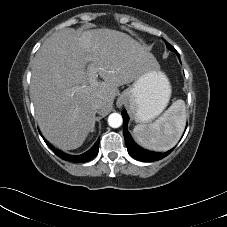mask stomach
Returning <instances> with one entry per match:
<instances>
[{"label":"stomach","mask_w":227,"mask_h":227,"mask_svg":"<svg viewBox=\"0 0 227 227\" xmlns=\"http://www.w3.org/2000/svg\"><path fill=\"white\" fill-rule=\"evenodd\" d=\"M170 96L169 79L159 67H152L140 74L120 99L137 123H149L162 113Z\"/></svg>","instance_id":"0dacf381"}]
</instances>
